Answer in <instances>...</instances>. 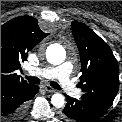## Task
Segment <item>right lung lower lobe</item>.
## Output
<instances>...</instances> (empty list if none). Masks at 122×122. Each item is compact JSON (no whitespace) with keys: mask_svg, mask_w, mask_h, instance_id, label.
<instances>
[{"mask_svg":"<svg viewBox=\"0 0 122 122\" xmlns=\"http://www.w3.org/2000/svg\"><path fill=\"white\" fill-rule=\"evenodd\" d=\"M36 85L1 86V122L20 118L24 114L26 101L38 92Z\"/></svg>","mask_w":122,"mask_h":122,"instance_id":"1","label":"right lung lower lobe"}]
</instances>
